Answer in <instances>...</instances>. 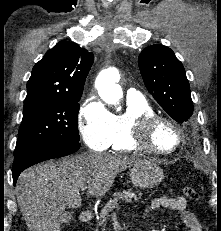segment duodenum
Returning a JSON list of instances; mask_svg holds the SVG:
<instances>
[{
    "mask_svg": "<svg viewBox=\"0 0 221 231\" xmlns=\"http://www.w3.org/2000/svg\"><path fill=\"white\" fill-rule=\"evenodd\" d=\"M79 219L82 223H88L92 219V213L89 210H83L80 213Z\"/></svg>",
    "mask_w": 221,
    "mask_h": 231,
    "instance_id": "obj_1",
    "label": "duodenum"
}]
</instances>
